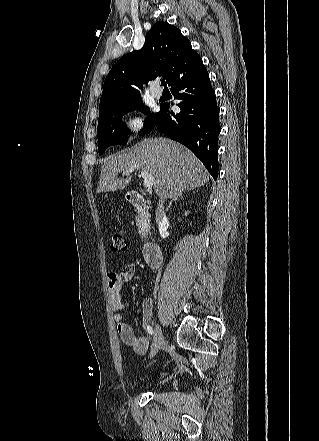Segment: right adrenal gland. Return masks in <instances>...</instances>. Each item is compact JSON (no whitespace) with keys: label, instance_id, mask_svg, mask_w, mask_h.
<instances>
[{"label":"right adrenal gland","instance_id":"1","mask_svg":"<svg viewBox=\"0 0 319 441\" xmlns=\"http://www.w3.org/2000/svg\"><path fill=\"white\" fill-rule=\"evenodd\" d=\"M187 190H191V189H187ZM180 197L182 198V194H180ZM175 200H176V198H174L173 200H171V202L169 203V205H168V207H167V210L171 207L172 202L175 201Z\"/></svg>","mask_w":319,"mask_h":441}]
</instances>
